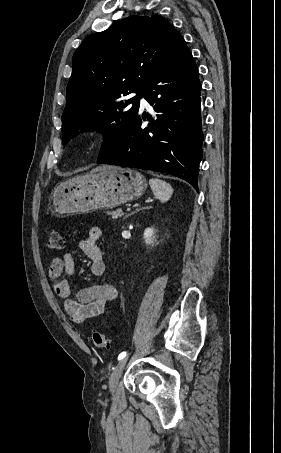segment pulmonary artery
Listing matches in <instances>:
<instances>
[{
	"mask_svg": "<svg viewBox=\"0 0 281 453\" xmlns=\"http://www.w3.org/2000/svg\"><path fill=\"white\" fill-rule=\"evenodd\" d=\"M133 95H136L135 93ZM140 102H141V105L142 106H148V103L146 102L145 98L144 97H141L140 98Z\"/></svg>",
	"mask_w": 281,
	"mask_h": 453,
	"instance_id": "pulmonary-artery-1",
	"label": "pulmonary artery"
}]
</instances>
